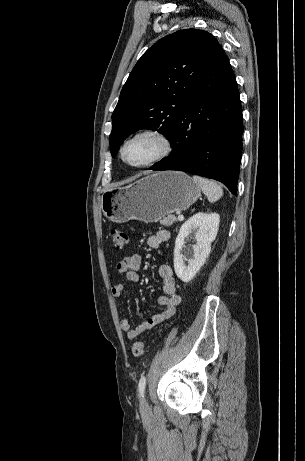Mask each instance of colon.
Returning <instances> with one entry per match:
<instances>
[{"label": "colon", "mask_w": 305, "mask_h": 461, "mask_svg": "<svg viewBox=\"0 0 305 461\" xmlns=\"http://www.w3.org/2000/svg\"><path fill=\"white\" fill-rule=\"evenodd\" d=\"M109 237L117 250H123L128 243V235L125 232L119 230H111L109 232ZM144 353V343L141 341H136L132 345V354L135 357H139Z\"/></svg>", "instance_id": "5ec220e1"}]
</instances>
